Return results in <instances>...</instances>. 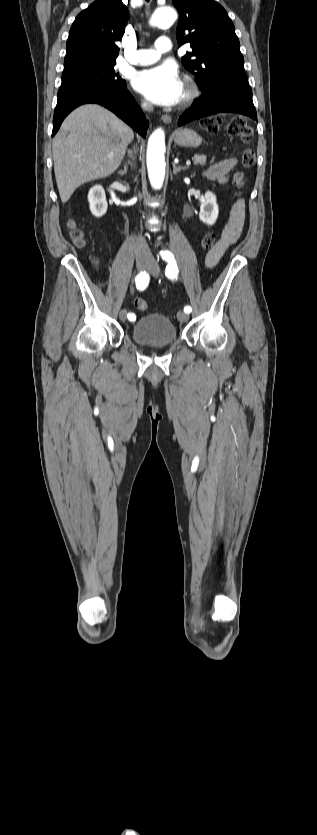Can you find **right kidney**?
Returning <instances> with one entry per match:
<instances>
[{"label":"right kidney","mask_w":317,"mask_h":835,"mask_svg":"<svg viewBox=\"0 0 317 835\" xmlns=\"http://www.w3.org/2000/svg\"><path fill=\"white\" fill-rule=\"evenodd\" d=\"M91 213L95 217L103 216L108 208L105 191L101 185L93 186L88 194Z\"/></svg>","instance_id":"obj_1"}]
</instances>
